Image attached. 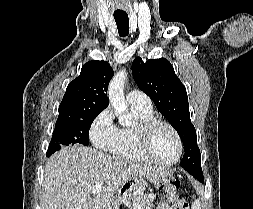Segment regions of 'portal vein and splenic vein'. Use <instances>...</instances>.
<instances>
[{"label": "portal vein and splenic vein", "instance_id": "1", "mask_svg": "<svg viewBox=\"0 0 253 209\" xmlns=\"http://www.w3.org/2000/svg\"><path fill=\"white\" fill-rule=\"evenodd\" d=\"M103 190V186H102V183H97L94 185V187L92 188V193L95 194V193H98L100 191ZM138 209H141V207L139 206Z\"/></svg>", "mask_w": 253, "mask_h": 209}]
</instances>
